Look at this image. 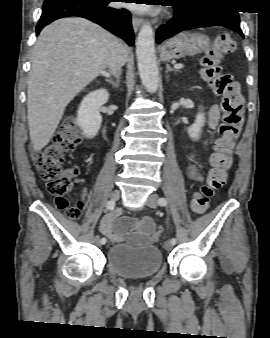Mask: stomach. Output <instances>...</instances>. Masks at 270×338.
I'll return each mask as SVG.
<instances>
[{"label":"stomach","mask_w":270,"mask_h":338,"mask_svg":"<svg viewBox=\"0 0 270 338\" xmlns=\"http://www.w3.org/2000/svg\"><path fill=\"white\" fill-rule=\"evenodd\" d=\"M209 45V38L205 35L182 32L162 44L160 57L163 61H169L192 56L205 51Z\"/></svg>","instance_id":"1"}]
</instances>
